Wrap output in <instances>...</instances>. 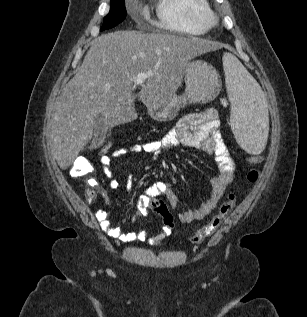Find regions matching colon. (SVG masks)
I'll use <instances>...</instances> for the list:
<instances>
[{
	"mask_svg": "<svg viewBox=\"0 0 307 317\" xmlns=\"http://www.w3.org/2000/svg\"><path fill=\"white\" fill-rule=\"evenodd\" d=\"M120 149V148H119ZM115 148L113 143H105L101 146L99 153L101 156L110 155L114 151L119 150ZM263 161L262 157L250 156L246 159L249 165L254 166L247 173V179L250 182H256L260 176L259 164ZM94 169L91 163L86 158H78L71 169V175L74 178L83 179L90 183H94L93 179ZM86 197L89 201H93L96 197V192L93 189L86 191ZM236 195L231 193L227 199L219 206L217 213L209 220L208 223L200 227L191 237V241L194 244H199L205 239L212 236L222 225L224 220L233 210L236 205ZM152 209L162 218L165 227L171 229L174 227L175 219L169 211L166 203L161 199H153L150 203Z\"/></svg>",
	"mask_w": 307,
	"mask_h": 317,
	"instance_id": "obj_1",
	"label": "colon"
}]
</instances>
